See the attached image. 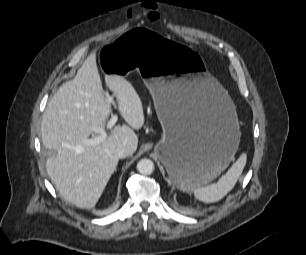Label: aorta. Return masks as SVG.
Segmentation results:
<instances>
[{"label":"aorta","mask_w":306,"mask_h":255,"mask_svg":"<svg viewBox=\"0 0 306 255\" xmlns=\"http://www.w3.org/2000/svg\"><path fill=\"white\" fill-rule=\"evenodd\" d=\"M137 170L139 171V173L141 174H151L154 170V163L152 160L150 159H141L138 163H137Z\"/></svg>","instance_id":"762f6f07"}]
</instances>
